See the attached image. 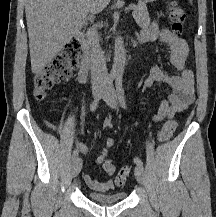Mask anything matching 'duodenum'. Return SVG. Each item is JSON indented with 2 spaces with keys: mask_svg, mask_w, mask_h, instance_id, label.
I'll list each match as a JSON object with an SVG mask.
<instances>
[{
  "mask_svg": "<svg viewBox=\"0 0 216 217\" xmlns=\"http://www.w3.org/2000/svg\"><path fill=\"white\" fill-rule=\"evenodd\" d=\"M75 37L82 46L81 66H80L79 72L83 74H87L91 66L93 65V54H92L90 46L87 43L86 34L84 31H78L75 34ZM142 41H143L142 37L138 35V36L130 37L126 41V43L129 46H133Z\"/></svg>",
  "mask_w": 216,
  "mask_h": 217,
  "instance_id": "obj_1",
  "label": "duodenum"
}]
</instances>
